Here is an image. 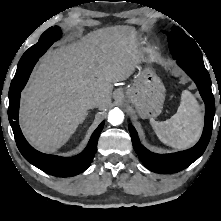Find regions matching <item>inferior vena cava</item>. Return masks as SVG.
Listing matches in <instances>:
<instances>
[{
  "mask_svg": "<svg viewBox=\"0 0 221 221\" xmlns=\"http://www.w3.org/2000/svg\"><path fill=\"white\" fill-rule=\"evenodd\" d=\"M99 104V98L98 97H92L87 101V107L88 108H95L98 107Z\"/></svg>",
  "mask_w": 221,
  "mask_h": 221,
  "instance_id": "inferior-vena-cava-1",
  "label": "inferior vena cava"
}]
</instances>
